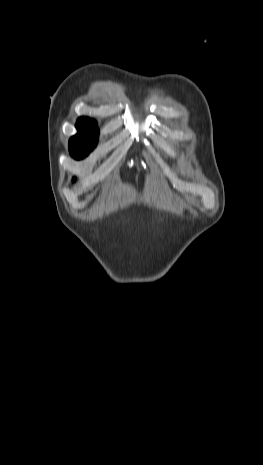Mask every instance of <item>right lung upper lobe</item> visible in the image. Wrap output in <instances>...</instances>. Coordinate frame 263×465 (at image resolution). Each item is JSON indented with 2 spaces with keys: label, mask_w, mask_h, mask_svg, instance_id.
<instances>
[{
  "label": "right lung upper lobe",
  "mask_w": 263,
  "mask_h": 465,
  "mask_svg": "<svg viewBox=\"0 0 263 465\" xmlns=\"http://www.w3.org/2000/svg\"><path fill=\"white\" fill-rule=\"evenodd\" d=\"M78 121H85V122H92V123H95L94 120L90 119V118H87V117H81L78 119Z\"/></svg>",
  "instance_id": "cb5924a9"
}]
</instances>
